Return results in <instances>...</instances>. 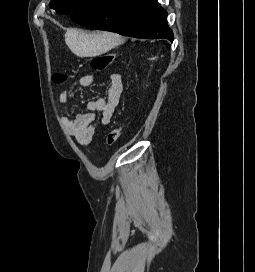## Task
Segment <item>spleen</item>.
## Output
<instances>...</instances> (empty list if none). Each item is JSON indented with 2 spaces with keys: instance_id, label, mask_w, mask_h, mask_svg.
<instances>
[{
  "instance_id": "obj_1",
  "label": "spleen",
  "mask_w": 255,
  "mask_h": 272,
  "mask_svg": "<svg viewBox=\"0 0 255 272\" xmlns=\"http://www.w3.org/2000/svg\"><path fill=\"white\" fill-rule=\"evenodd\" d=\"M65 42L71 51L80 57H92L105 53L120 43L113 33H87L79 29H68Z\"/></svg>"
}]
</instances>
